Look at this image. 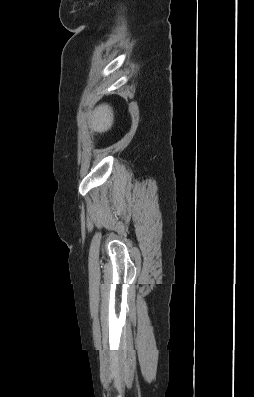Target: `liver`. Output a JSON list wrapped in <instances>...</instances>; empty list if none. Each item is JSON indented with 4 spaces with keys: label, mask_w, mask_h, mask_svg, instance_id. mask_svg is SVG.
Instances as JSON below:
<instances>
[{
    "label": "liver",
    "mask_w": 254,
    "mask_h": 397,
    "mask_svg": "<svg viewBox=\"0 0 254 397\" xmlns=\"http://www.w3.org/2000/svg\"><path fill=\"white\" fill-rule=\"evenodd\" d=\"M114 122L113 109L108 104L97 106L91 115L90 128L98 133L108 131Z\"/></svg>",
    "instance_id": "1"
}]
</instances>
